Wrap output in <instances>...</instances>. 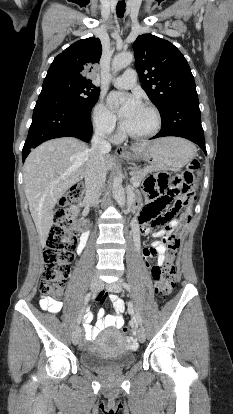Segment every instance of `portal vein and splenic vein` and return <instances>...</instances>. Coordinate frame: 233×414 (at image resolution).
<instances>
[{
  "label": "portal vein and splenic vein",
  "mask_w": 233,
  "mask_h": 414,
  "mask_svg": "<svg viewBox=\"0 0 233 414\" xmlns=\"http://www.w3.org/2000/svg\"><path fill=\"white\" fill-rule=\"evenodd\" d=\"M131 182L133 186H138V184L136 182H133V178H131Z\"/></svg>",
  "instance_id": "portal-vein-and-splenic-vein-1"
}]
</instances>
